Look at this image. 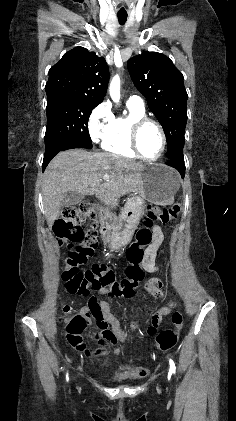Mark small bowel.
Returning a JSON list of instances; mask_svg holds the SVG:
<instances>
[{
  "label": "small bowel",
  "mask_w": 236,
  "mask_h": 421,
  "mask_svg": "<svg viewBox=\"0 0 236 421\" xmlns=\"http://www.w3.org/2000/svg\"><path fill=\"white\" fill-rule=\"evenodd\" d=\"M153 237H154L153 246L148 250L147 256H146V259H145V266L146 267H150V265H151L150 263L153 260V256H152L153 250L157 249L159 247V245L161 244V242L163 241V233H162L159 226L153 227ZM148 290L150 291V293H152L155 296H161L162 295L161 285L157 282L149 283ZM100 294H105V292L100 291ZM90 306L96 311V316H97L98 319H100L99 320L100 326L106 327L108 324H110L115 329H118V323L113 318V316L110 314L109 306L105 301H101L98 304L95 298H91ZM167 312H168V309L164 308L160 312V315L166 314ZM105 333L106 332H104V334ZM141 374L145 375V372L143 371V373H141Z\"/></svg>",
  "instance_id": "1"
}]
</instances>
